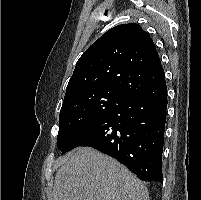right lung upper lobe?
Returning <instances> with one entry per match:
<instances>
[{"mask_svg":"<svg viewBox=\"0 0 201 200\" xmlns=\"http://www.w3.org/2000/svg\"><path fill=\"white\" fill-rule=\"evenodd\" d=\"M165 78L155 45L140 25H118L105 32L76 63L65 99L109 90L133 95Z\"/></svg>","mask_w":201,"mask_h":200,"instance_id":"obj_1","label":"right lung upper lobe"}]
</instances>
